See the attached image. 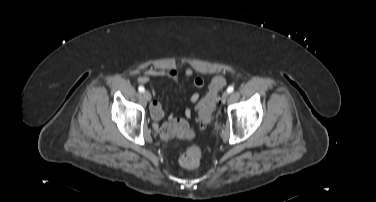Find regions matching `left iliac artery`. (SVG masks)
I'll return each mask as SVG.
<instances>
[{"instance_id":"obj_1","label":"left iliac artery","mask_w":376,"mask_h":202,"mask_svg":"<svg viewBox=\"0 0 376 202\" xmlns=\"http://www.w3.org/2000/svg\"><path fill=\"white\" fill-rule=\"evenodd\" d=\"M234 91V87L233 86H229L228 88H227V92L228 93H232Z\"/></svg>"}]
</instances>
